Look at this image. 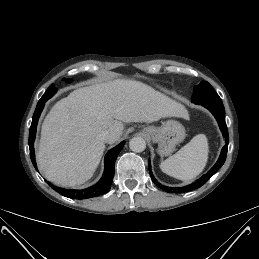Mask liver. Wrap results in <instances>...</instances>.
<instances>
[{"label":"liver","instance_id":"obj_1","mask_svg":"<svg viewBox=\"0 0 259 259\" xmlns=\"http://www.w3.org/2000/svg\"><path fill=\"white\" fill-rule=\"evenodd\" d=\"M187 115L182 104L139 81L117 79L78 88L59 100L43 121L39 169L56 185H81L93 176L103 155L100 133L109 131L107 143L113 144L123 133V122Z\"/></svg>","mask_w":259,"mask_h":259}]
</instances>
